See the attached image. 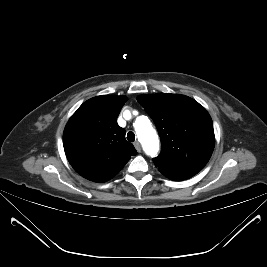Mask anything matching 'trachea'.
Listing matches in <instances>:
<instances>
[{
  "label": "trachea",
  "mask_w": 267,
  "mask_h": 267,
  "mask_svg": "<svg viewBox=\"0 0 267 267\" xmlns=\"http://www.w3.org/2000/svg\"><path fill=\"white\" fill-rule=\"evenodd\" d=\"M127 140L130 142H134L135 141V134L132 131H129L127 133Z\"/></svg>",
  "instance_id": "1"
}]
</instances>
